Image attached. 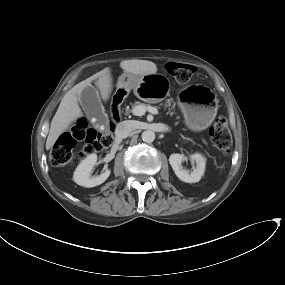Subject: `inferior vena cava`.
Wrapping results in <instances>:
<instances>
[{"label": "inferior vena cava", "instance_id": "1", "mask_svg": "<svg viewBox=\"0 0 285 285\" xmlns=\"http://www.w3.org/2000/svg\"><path fill=\"white\" fill-rule=\"evenodd\" d=\"M134 131V126L131 121H122L117 124L115 134L118 138H126Z\"/></svg>", "mask_w": 285, "mask_h": 285}]
</instances>
